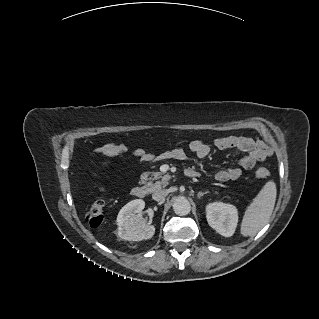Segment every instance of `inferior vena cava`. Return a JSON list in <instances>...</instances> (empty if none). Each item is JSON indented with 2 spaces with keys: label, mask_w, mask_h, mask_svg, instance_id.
I'll use <instances>...</instances> for the list:
<instances>
[{
  "label": "inferior vena cava",
  "mask_w": 319,
  "mask_h": 319,
  "mask_svg": "<svg viewBox=\"0 0 319 319\" xmlns=\"http://www.w3.org/2000/svg\"><path fill=\"white\" fill-rule=\"evenodd\" d=\"M168 192L165 189H158L152 194V198L156 201H161L167 196Z\"/></svg>",
  "instance_id": "602c4592"
}]
</instances>
